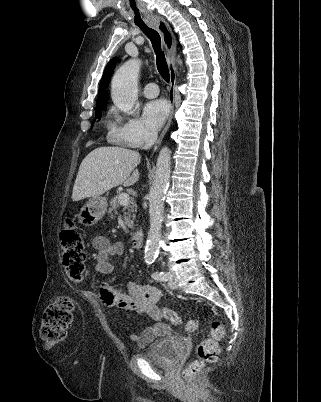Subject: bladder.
<instances>
[{"label": "bladder", "mask_w": 321, "mask_h": 402, "mask_svg": "<svg viewBox=\"0 0 321 402\" xmlns=\"http://www.w3.org/2000/svg\"><path fill=\"white\" fill-rule=\"evenodd\" d=\"M178 341V336L169 333L167 337L155 342L141 352L140 355L147 360L156 361L163 366L171 367L175 365L179 359Z\"/></svg>", "instance_id": "31cf9c89"}]
</instances>
